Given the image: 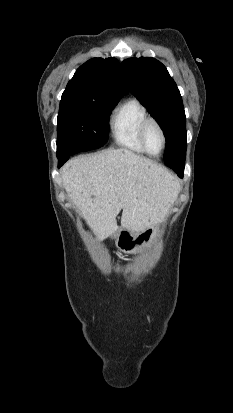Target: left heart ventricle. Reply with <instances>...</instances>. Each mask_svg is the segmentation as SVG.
<instances>
[{
  "mask_svg": "<svg viewBox=\"0 0 233 413\" xmlns=\"http://www.w3.org/2000/svg\"><path fill=\"white\" fill-rule=\"evenodd\" d=\"M145 140L148 147V150L157 154L162 148V137L158 128L151 124L147 127Z\"/></svg>",
  "mask_w": 233,
  "mask_h": 413,
  "instance_id": "obj_1",
  "label": "left heart ventricle"
}]
</instances>
